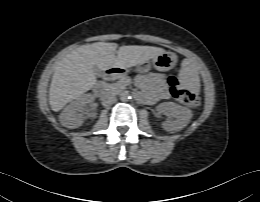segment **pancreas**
<instances>
[{"label": "pancreas", "mask_w": 260, "mask_h": 202, "mask_svg": "<svg viewBox=\"0 0 260 202\" xmlns=\"http://www.w3.org/2000/svg\"><path fill=\"white\" fill-rule=\"evenodd\" d=\"M125 78L120 79L119 81L115 82V83H105V89L108 92H118L119 90L123 89L125 87Z\"/></svg>", "instance_id": "1"}]
</instances>
